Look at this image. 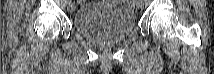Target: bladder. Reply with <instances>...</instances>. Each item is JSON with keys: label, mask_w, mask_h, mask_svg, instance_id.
Segmentation results:
<instances>
[{"label": "bladder", "mask_w": 214, "mask_h": 74, "mask_svg": "<svg viewBox=\"0 0 214 74\" xmlns=\"http://www.w3.org/2000/svg\"><path fill=\"white\" fill-rule=\"evenodd\" d=\"M135 28L133 10L120 1H94L73 18V29L91 41H119Z\"/></svg>", "instance_id": "bladder-1"}]
</instances>
